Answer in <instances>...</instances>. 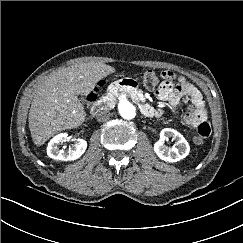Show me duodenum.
<instances>
[{
	"instance_id": "1",
	"label": "duodenum",
	"mask_w": 243,
	"mask_h": 243,
	"mask_svg": "<svg viewBox=\"0 0 243 243\" xmlns=\"http://www.w3.org/2000/svg\"><path fill=\"white\" fill-rule=\"evenodd\" d=\"M114 89L127 90L128 92H130L132 98L140 103V110H141L142 114H144L145 116L152 117L155 115L156 111L154 110V108L151 107L150 105L142 102V99L138 95L133 81H131L129 79H123V80L115 83L112 86V90H114ZM113 103H114V97H113L112 93H108L104 97H102L100 100H96L93 102V104L91 106V112H92V114H97L104 108L112 106Z\"/></svg>"
}]
</instances>
